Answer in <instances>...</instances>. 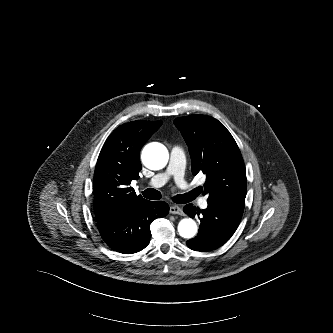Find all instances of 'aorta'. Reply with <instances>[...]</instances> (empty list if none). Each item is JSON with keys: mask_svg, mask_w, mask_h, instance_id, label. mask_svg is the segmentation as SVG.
Here are the masks:
<instances>
[{"mask_svg": "<svg viewBox=\"0 0 333 333\" xmlns=\"http://www.w3.org/2000/svg\"><path fill=\"white\" fill-rule=\"evenodd\" d=\"M168 151L160 143L148 144L142 153L144 165L151 170H159L168 162ZM178 232L184 238H192L197 233V225L191 218H183L178 224Z\"/></svg>", "mask_w": 333, "mask_h": 333, "instance_id": "762f6f07", "label": "aorta"}]
</instances>
